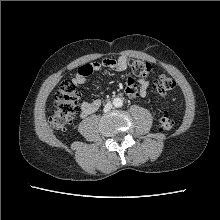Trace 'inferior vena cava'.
Wrapping results in <instances>:
<instances>
[{
	"instance_id": "1",
	"label": "inferior vena cava",
	"mask_w": 220,
	"mask_h": 220,
	"mask_svg": "<svg viewBox=\"0 0 220 220\" xmlns=\"http://www.w3.org/2000/svg\"><path fill=\"white\" fill-rule=\"evenodd\" d=\"M112 108V103L111 102H108L105 107H104V112H108L110 111Z\"/></svg>"
}]
</instances>
